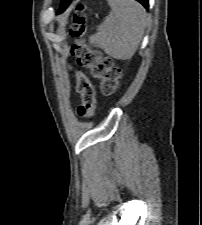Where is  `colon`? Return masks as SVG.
I'll return each instance as SVG.
<instances>
[{"mask_svg": "<svg viewBox=\"0 0 202 225\" xmlns=\"http://www.w3.org/2000/svg\"><path fill=\"white\" fill-rule=\"evenodd\" d=\"M78 10L79 14L75 16L71 30L75 39L73 44L75 65L88 70L89 73V75L81 73L77 76V90L81 96L78 114L83 119L91 120L96 113V97L90 78L99 81V89L103 95L111 96L120 86L121 70L115 67L111 57L98 50H92L86 44L88 23L83 13L87 10V6L81 4Z\"/></svg>", "mask_w": 202, "mask_h": 225, "instance_id": "1", "label": "colon"}]
</instances>
